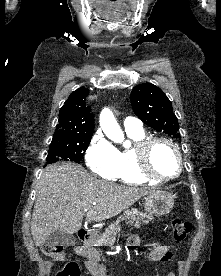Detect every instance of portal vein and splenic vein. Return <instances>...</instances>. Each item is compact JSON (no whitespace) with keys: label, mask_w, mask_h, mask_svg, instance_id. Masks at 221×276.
<instances>
[{"label":"portal vein and splenic vein","mask_w":221,"mask_h":276,"mask_svg":"<svg viewBox=\"0 0 221 276\" xmlns=\"http://www.w3.org/2000/svg\"><path fill=\"white\" fill-rule=\"evenodd\" d=\"M96 203H93V205H95ZM85 212L88 211L87 209L84 210Z\"/></svg>","instance_id":"1"}]
</instances>
